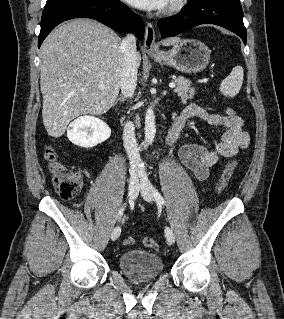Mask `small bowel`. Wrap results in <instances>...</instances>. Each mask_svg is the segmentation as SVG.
Here are the masks:
<instances>
[{"label":"small bowel","mask_w":284,"mask_h":319,"mask_svg":"<svg viewBox=\"0 0 284 319\" xmlns=\"http://www.w3.org/2000/svg\"><path fill=\"white\" fill-rule=\"evenodd\" d=\"M191 118H199L208 124L226 128L214 149L195 143L185 144L179 149L181 163L196 180L203 182L210 177L211 169L221 158L234 157L241 149L248 147L250 136L244 130L240 117L211 113L196 104L186 106L172 125L178 130V135Z\"/></svg>","instance_id":"obj_1"}]
</instances>
